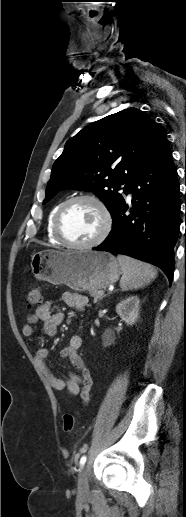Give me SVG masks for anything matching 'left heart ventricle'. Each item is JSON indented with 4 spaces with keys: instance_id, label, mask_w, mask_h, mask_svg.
I'll return each mask as SVG.
<instances>
[{
    "instance_id": "left-heart-ventricle-1",
    "label": "left heart ventricle",
    "mask_w": 186,
    "mask_h": 517,
    "mask_svg": "<svg viewBox=\"0 0 186 517\" xmlns=\"http://www.w3.org/2000/svg\"><path fill=\"white\" fill-rule=\"evenodd\" d=\"M61 227L68 240L75 243H86L99 234L102 227V216L93 203L79 201L67 209Z\"/></svg>"
}]
</instances>
